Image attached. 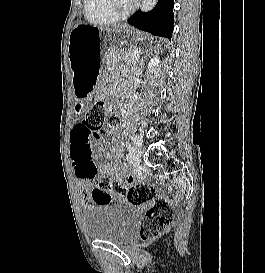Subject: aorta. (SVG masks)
I'll return each instance as SVG.
<instances>
[{
  "mask_svg": "<svg viewBox=\"0 0 265 273\" xmlns=\"http://www.w3.org/2000/svg\"><path fill=\"white\" fill-rule=\"evenodd\" d=\"M157 1L158 0H142L141 11L143 12L151 11L157 4Z\"/></svg>",
  "mask_w": 265,
  "mask_h": 273,
  "instance_id": "1",
  "label": "aorta"
}]
</instances>
